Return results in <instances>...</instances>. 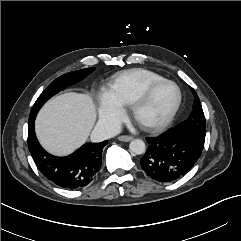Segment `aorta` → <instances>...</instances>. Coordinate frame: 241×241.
I'll return each instance as SVG.
<instances>
[{
    "label": "aorta",
    "mask_w": 241,
    "mask_h": 241,
    "mask_svg": "<svg viewBox=\"0 0 241 241\" xmlns=\"http://www.w3.org/2000/svg\"><path fill=\"white\" fill-rule=\"evenodd\" d=\"M129 149L132 153L136 155L143 154L146 150V145L141 139H134L129 144Z\"/></svg>",
    "instance_id": "obj_1"
}]
</instances>
